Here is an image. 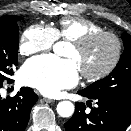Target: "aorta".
<instances>
[{
  "mask_svg": "<svg viewBox=\"0 0 131 131\" xmlns=\"http://www.w3.org/2000/svg\"><path fill=\"white\" fill-rule=\"evenodd\" d=\"M65 49V42H57L53 46V51L55 54L63 55ZM57 113L64 118L70 117L74 113V105L70 101H61L57 105Z\"/></svg>",
  "mask_w": 131,
  "mask_h": 131,
  "instance_id": "aorta-1",
  "label": "aorta"
}]
</instances>
